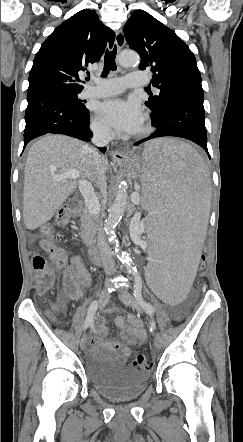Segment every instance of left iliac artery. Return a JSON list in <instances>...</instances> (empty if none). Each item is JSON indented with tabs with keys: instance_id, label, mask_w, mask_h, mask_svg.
<instances>
[{
	"instance_id": "left-iliac-artery-1",
	"label": "left iliac artery",
	"mask_w": 243,
	"mask_h": 442,
	"mask_svg": "<svg viewBox=\"0 0 243 442\" xmlns=\"http://www.w3.org/2000/svg\"><path fill=\"white\" fill-rule=\"evenodd\" d=\"M133 275L135 276L136 279V284L134 286V296L136 301L139 303V305L144 309V311L152 316L155 312V307L153 305H151L150 303H148L147 301H145L142 297V286L140 281L137 279L138 278V272L137 270H135L133 272ZM155 329V324L153 323L151 326V331Z\"/></svg>"
}]
</instances>
